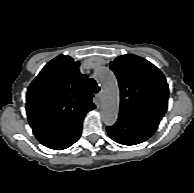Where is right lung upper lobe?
Here are the masks:
<instances>
[{
  "label": "right lung upper lobe",
  "mask_w": 194,
  "mask_h": 193,
  "mask_svg": "<svg viewBox=\"0 0 194 193\" xmlns=\"http://www.w3.org/2000/svg\"><path fill=\"white\" fill-rule=\"evenodd\" d=\"M79 62L59 55L48 62L27 90L26 112L35 136L60 130L95 108Z\"/></svg>",
  "instance_id": "cb5924a9"
}]
</instances>
